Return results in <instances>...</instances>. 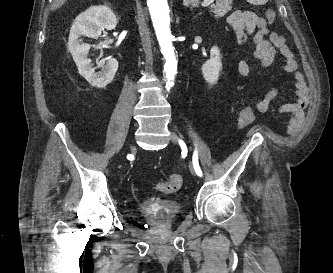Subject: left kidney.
I'll return each mask as SVG.
<instances>
[{
	"mask_svg": "<svg viewBox=\"0 0 333 273\" xmlns=\"http://www.w3.org/2000/svg\"><path fill=\"white\" fill-rule=\"evenodd\" d=\"M221 69H222L221 54L219 49L216 46H214L210 50V59L206 61L202 66V73L204 79L210 85L217 83Z\"/></svg>",
	"mask_w": 333,
	"mask_h": 273,
	"instance_id": "obj_1",
	"label": "left kidney"
}]
</instances>
